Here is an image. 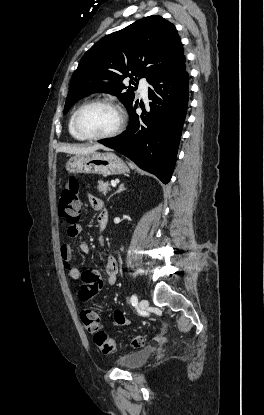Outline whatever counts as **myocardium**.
I'll return each instance as SVG.
<instances>
[{"instance_id":"obj_1","label":"myocardium","mask_w":264,"mask_h":415,"mask_svg":"<svg viewBox=\"0 0 264 415\" xmlns=\"http://www.w3.org/2000/svg\"><path fill=\"white\" fill-rule=\"evenodd\" d=\"M95 105L109 106L117 111L118 123H117V126L111 132L106 133V134H101V135H89L80 128L79 116L81 112L87 107L95 106ZM125 120H126L125 113L119 104L109 99H96V100L88 101L82 104L80 107H78V109L75 111L74 116H73V128L75 132L84 140H105V139L114 138L117 135H119L124 129Z\"/></svg>"}]
</instances>
